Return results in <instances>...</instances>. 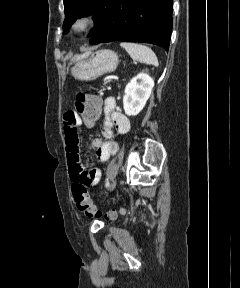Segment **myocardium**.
Instances as JSON below:
<instances>
[{"label": "myocardium", "instance_id": "1", "mask_svg": "<svg viewBox=\"0 0 240 288\" xmlns=\"http://www.w3.org/2000/svg\"><path fill=\"white\" fill-rule=\"evenodd\" d=\"M98 16V8L91 6L82 10L73 20L71 29L76 34L87 32L93 27Z\"/></svg>", "mask_w": 240, "mask_h": 288}]
</instances>
